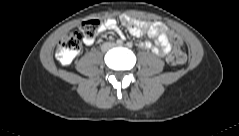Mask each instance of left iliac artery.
Returning a JSON list of instances; mask_svg holds the SVG:
<instances>
[{"instance_id":"44dca946","label":"left iliac artery","mask_w":239,"mask_h":136,"mask_svg":"<svg viewBox=\"0 0 239 136\" xmlns=\"http://www.w3.org/2000/svg\"><path fill=\"white\" fill-rule=\"evenodd\" d=\"M128 47H132L133 46V44H132V42H127V44H126Z\"/></svg>"}]
</instances>
